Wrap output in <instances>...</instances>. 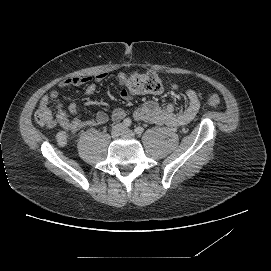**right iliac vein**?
Segmentation results:
<instances>
[{
  "label": "right iliac vein",
  "mask_w": 271,
  "mask_h": 271,
  "mask_svg": "<svg viewBox=\"0 0 271 271\" xmlns=\"http://www.w3.org/2000/svg\"><path fill=\"white\" fill-rule=\"evenodd\" d=\"M122 134H123L122 126L116 125L115 127H113V129L111 131V135H112L113 138H118Z\"/></svg>",
  "instance_id": "63e3f726"
}]
</instances>
